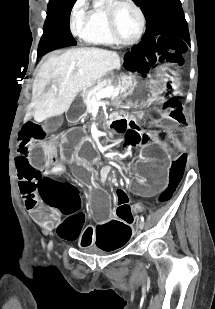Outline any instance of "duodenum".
Here are the masks:
<instances>
[{
    "label": "duodenum",
    "mask_w": 215,
    "mask_h": 309,
    "mask_svg": "<svg viewBox=\"0 0 215 309\" xmlns=\"http://www.w3.org/2000/svg\"><path fill=\"white\" fill-rule=\"evenodd\" d=\"M130 119L124 114H114L107 120V127L110 131L122 130L124 127L130 124Z\"/></svg>",
    "instance_id": "1"
}]
</instances>
